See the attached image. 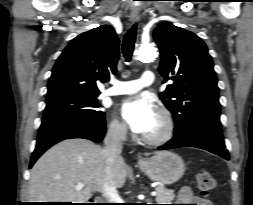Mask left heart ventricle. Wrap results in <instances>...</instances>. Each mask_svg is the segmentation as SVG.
I'll list each match as a JSON object with an SVG mask.
<instances>
[{"label":"left heart ventricle","instance_id":"1","mask_svg":"<svg viewBox=\"0 0 253 205\" xmlns=\"http://www.w3.org/2000/svg\"><path fill=\"white\" fill-rule=\"evenodd\" d=\"M161 130H162V123H161V120L157 114V117H156L154 123L152 124L150 129L145 133V135L154 136V135H157L158 133H160Z\"/></svg>","mask_w":253,"mask_h":205}]
</instances>
